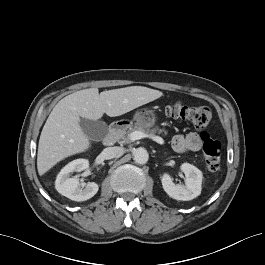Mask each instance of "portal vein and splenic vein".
<instances>
[{"label": "portal vein and splenic vein", "mask_w": 265, "mask_h": 265, "mask_svg": "<svg viewBox=\"0 0 265 265\" xmlns=\"http://www.w3.org/2000/svg\"><path fill=\"white\" fill-rule=\"evenodd\" d=\"M145 137H149L148 135H146L145 133H143L142 131H134L130 134V139L132 141H136V140H140L142 138ZM154 141H156L158 144L163 145L164 144V140L163 138L159 137V136H150Z\"/></svg>", "instance_id": "18ae733b"}]
</instances>
